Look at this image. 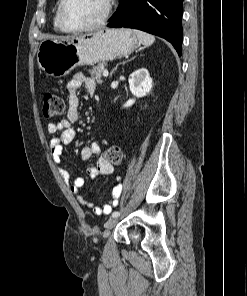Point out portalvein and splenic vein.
<instances>
[{"mask_svg": "<svg viewBox=\"0 0 247 296\" xmlns=\"http://www.w3.org/2000/svg\"><path fill=\"white\" fill-rule=\"evenodd\" d=\"M108 75H109L108 70H104V71H103V76H104V77H107Z\"/></svg>", "mask_w": 247, "mask_h": 296, "instance_id": "obj_1", "label": "portal vein and splenic vein"}]
</instances>
